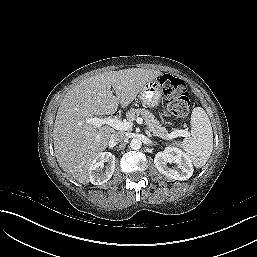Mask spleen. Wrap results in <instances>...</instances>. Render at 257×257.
I'll list each match as a JSON object with an SVG mask.
<instances>
[{"label": "spleen", "mask_w": 257, "mask_h": 257, "mask_svg": "<svg viewBox=\"0 0 257 257\" xmlns=\"http://www.w3.org/2000/svg\"><path fill=\"white\" fill-rule=\"evenodd\" d=\"M191 137L173 145L181 147L196 168L206 164L213 149V132L208 115L201 107L191 114Z\"/></svg>", "instance_id": "3e777b00"}]
</instances>
